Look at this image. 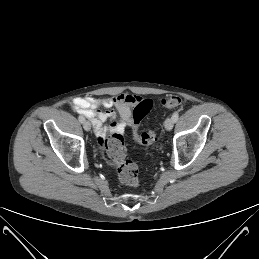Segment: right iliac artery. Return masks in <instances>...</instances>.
I'll return each instance as SVG.
<instances>
[{
	"instance_id": "obj_1",
	"label": "right iliac artery",
	"mask_w": 259,
	"mask_h": 259,
	"mask_svg": "<svg viewBox=\"0 0 259 259\" xmlns=\"http://www.w3.org/2000/svg\"><path fill=\"white\" fill-rule=\"evenodd\" d=\"M78 119H79V121H80L81 123H83V122L85 121V118H84L82 115H80V116L78 117Z\"/></svg>"
}]
</instances>
